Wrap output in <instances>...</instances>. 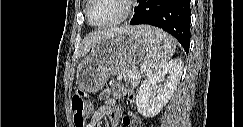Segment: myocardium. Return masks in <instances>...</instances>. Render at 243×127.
I'll use <instances>...</instances> for the list:
<instances>
[{
    "instance_id": "obj_1",
    "label": "myocardium",
    "mask_w": 243,
    "mask_h": 127,
    "mask_svg": "<svg viewBox=\"0 0 243 127\" xmlns=\"http://www.w3.org/2000/svg\"><path fill=\"white\" fill-rule=\"evenodd\" d=\"M93 1L94 0L87 1L86 8H85V15H86V19H87V22L89 23V25H91L92 27H95V28H107V27H112V26L118 25V24L122 23L123 21H125L127 18H129L134 11V3H135L134 0H121L124 5V11L119 17H117L116 19H114L110 22H107V23L95 24L92 22L91 17H90V7H91Z\"/></svg>"
}]
</instances>
